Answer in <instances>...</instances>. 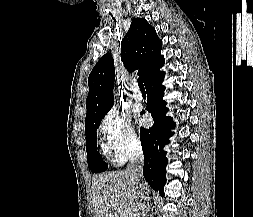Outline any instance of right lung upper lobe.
<instances>
[{"label":"right lung upper lobe","instance_id":"obj_1","mask_svg":"<svg viewBox=\"0 0 253 217\" xmlns=\"http://www.w3.org/2000/svg\"><path fill=\"white\" fill-rule=\"evenodd\" d=\"M162 40L145 19L134 18L121 42V60L129 72L138 70L145 82L164 65ZM115 68L111 54L100 58L88 78L86 122L107 113L114 104Z\"/></svg>","mask_w":253,"mask_h":217}]
</instances>
